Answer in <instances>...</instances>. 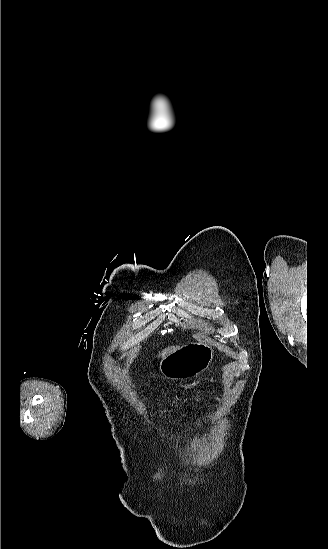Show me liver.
<instances>
[{
  "instance_id": "obj_1",
  "label": "liver",
  "mask_w": 328,
  "mask_h": 549,
  "mask_svg": "<svg viewBox=\"0 0 328 549\" xmlns=\"http://www.w3.org/2000/svg\"><path fill=\"white\" fill-rule=\"evenodd\" d=\"M178 347H168V349H164V351H161L159 353L160 357H166V355H169V353H174V351H177Z\"/></svg>"
}]
</instances>
